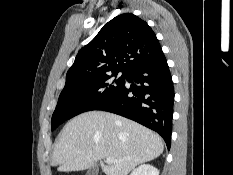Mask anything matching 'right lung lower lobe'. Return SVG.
Listing matches in <instances>:
<instances>
[{
  "mask_svg": "<svg viewBox=\"0 0 233 175\" xmlns=\"http://www.w3.org/2000/svg\"><path fill=\"white\" fill-rule=\"evenodd\" d=\"M132 83L124 87L97 110L115 113L134 120L159 133L168 149L171 143L174 87L162 52L151 61L127 73ZM132 80L140 84L135 85Z\"/></svg>",
  "mask_w": 233,
  "mask_h": 175,
  "instance_id": "98d812e1",
  "label": "right lung lower lobe"
}]
</instances>
